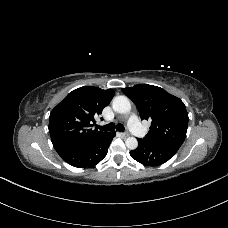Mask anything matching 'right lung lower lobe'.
<instances>
[{"label": "right lung lower lobe", "instance_id": "right-lung-lower-lobe-1", "mask_svg": "<svg viewBox=\"0 0 228 228\" xmlns=\"http://www.w3.org/2000/svg\"><path fill=\"white\" fill-rule=\"evenodd\" d=\"M115 133L114 131L108 132L94 141L65 147L58 150L57 153L65 162L74 167H92L106 156Z\"/></svg>", "mask_w": 228, "mask_h": 228}]
</instances>
